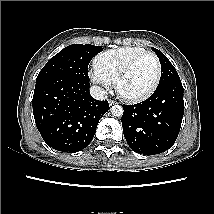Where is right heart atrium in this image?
I'll return each mask as SVG.
<instances>
[{"label": "right heart atrium", "mask_w": 214, "mask_h": 214, "mask_svg": "<svg viewBox=\"0 0 214 214\" xmlns=\"http://www.w3.org/2000/svg\"><path fill=\"white\" fill-rule=\"evenodd\" d=\"M91 79L95 83L100 84L101 86H103L106 89L110 88L113 84L108 78H106L105 76H103L96 70H93L91 72Z\"/></svg>", "instance_id": "1"}]
</instances>
